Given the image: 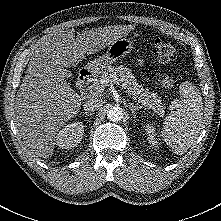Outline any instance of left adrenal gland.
Wrapping results in <instances>:
<instances>
[{
    "instance_id": "1",
    "label": "left adrenal gland",
    "mask_w": 221,
    "mask_h": 221,
    "mask_svg": "<svg viewBox=\"0 0 221 221\" xmlns=\"http://www.w3.org/2000/svg\"><path fill=\"white\" fill-rule=\"evenodd\" d=\"M128 106H129L130 110L132 111L134 118H136L137 111H139V109H141L142 106H139L138 104L134 105L131 102H129Z\"/></svg>"
}]
</instances>
